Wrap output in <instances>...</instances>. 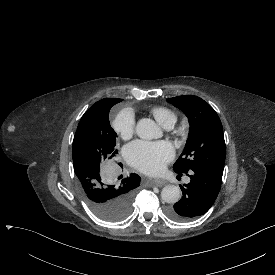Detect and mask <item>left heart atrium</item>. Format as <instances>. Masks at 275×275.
<instances>
[{"mask_svg":"<svg viewBox=\"0 0 275 275\" xmlns=\"http://www.w3.org/2000/svg\"><path fill=\"white\" fill-rule=\"evenodd\" d=\"M125 157L136 169L144 173L155 174L172 159L173 149L165 141H136L125 148Z\"/></svg>","mask_w":275,"mask_h":275,"instance_id":"left-heart-atrium-1","label":"left heart atrium"}]
</instances>
